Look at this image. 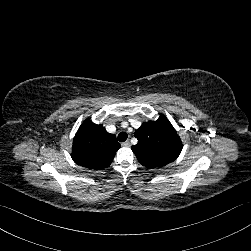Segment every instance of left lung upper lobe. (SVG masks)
I'll return each instance as SVG.
<instances>
[{
  "label": "left lung upper lobe",
  "mask_w": 251,
  "mask_h": 251,
  "mask_svg": "<svg viewBox=\"0 0 251 251\" xmlns=\"http://www.w3.org/2000/svg\"><path fill=\"white\" fill-rule=\"evenodd\" d=\"M134 135L138 143L131 149L138 161L147 168L164 167L181 153L182 142L163 114L156 121L144 122Z\"/></svg>",
  "instance_id": "1"
}]
</instances>
